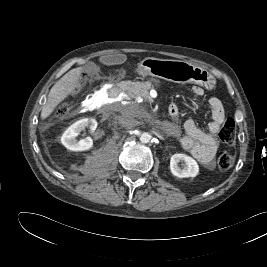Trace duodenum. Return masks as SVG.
I'll use <instances>...</instances> for the list:
<instances>
[{
    "instance_id": "duodenum-1",
    "label": "duodenum",
    "mask_w": 267,
    "mask_h": 267,
    "mask_svg": "<svg viewBox=\"0 0 267 267\" xmlns=\"http://www.w3.org/2000/svg\"><path fill=\"white\" fill-rule=\"evenodd\" d=\"M127 83L126 82H122L120 83V85H115L113 88H112V95L115 97V98H122L124 95H125V91L127 89ZM169 115L171 117H176L177 116V112L172 108V107H169Z\"/></svg>"
}]
</instances>
